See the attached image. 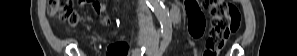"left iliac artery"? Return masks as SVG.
<instances>
[{
  "label": "left iliac artery",
  "mask_w": 297,
  "mask_h": 56,
  "mask_svg": "<svg viewBox=\"0 0 297 56\" xmlns=\"http://www.w3.org/2000/svg\"><path fill=\"white\" fill-rule=\"evenodd\" d=\"M171 41V35L167 34L165 37H164V40L163 42L161 43V46H160V49L158 50V53L157 55H162L163 52L165 51L166 47L168 46V44L170 43Z\"/></svg>",
  "instance_id": "44dca946"
}]
</instances>
